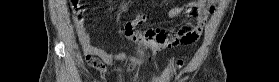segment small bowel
I'll list each match as a JSON object with an SVG mask.
<instances>
[{"instance_id": "obj_1", "label": "small bowel", "mask_w": 279, "mask_h": 82, "mask_svg": "<svg viewBox=\"0 0 279 82\" xmlns=\"http://www.w3.org/2000/svg\"><path fill=\"white\" fill-rule=\"evenodd\" d=\"M69 5L75 10L74 26L87 62L90 67L98 70L101 74L107 73L106 64L115 66L121 62L131 60L141 65L144 63L145 59L165 49L194 43L202 31L209 15L216 7L214 4L205 1H190L183 5L173 7L168 12V18L173 19L180 15H188L190 17L189 21L176 29L156 27L136 30V25L143 23L144 17L142 15L137 21L127 22L124 25L125 36L132 41L146 46L149 50L147 56H132L124 52H107L102 48L92 45L84 23L85 17L80 3L77 1H70ZM131 71L132 68L129 67L127 72Z\"/></svg>"}]
</instances>
